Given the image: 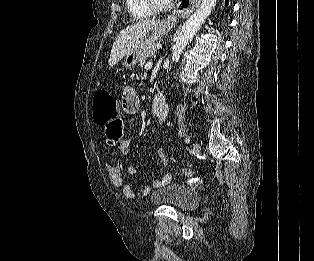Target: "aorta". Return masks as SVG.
I'll return each instance as SVG.
<instances>
[{
    "label": "aorta",
    "mask_w": 314,
    "mask_h": 261,
    "mask_svg": "<svg viewBox=\"0 0 314 261\" xmlns=\"http://www.w3.org/2000/svg\"><path fill=\"white\" fill-rule=\"evenodd\" d=\"M217 0H202L199 8L183 24L172 47V62L179 60L183 49L189 44L202 24L216 6Z\"/></svg>",
    "instance_id": "1"
}]
</instances>
